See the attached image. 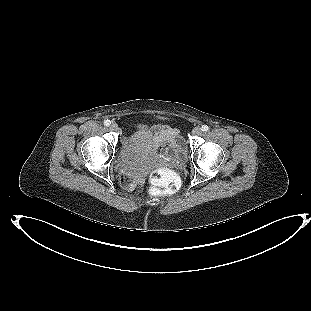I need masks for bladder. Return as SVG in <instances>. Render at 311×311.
<instances>
[{"label":"bladder","instance_id":"bladder-1","mask_svg":"<svg viewBox=\"0 0 311 311\" xmlns=\"http://www.w3.org/2000/svg\"><path fill=\"white\" fill-rule=\"evenodd\" d=\"M146 134L142 131H136L127 137L126 150L134 153L137 146L146 139Z\"/></svg>","mask_w":311,"mask_h":311}]
</instances>
